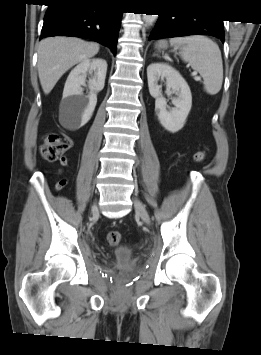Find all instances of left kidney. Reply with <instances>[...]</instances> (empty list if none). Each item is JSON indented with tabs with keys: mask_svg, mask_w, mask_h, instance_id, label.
Wrapping results in <instances>:
<instances>
[{
	"mask_svg": "<svg viewBox=\"0 0 261 355\" xmlns=\"http://www.w3.org/2000/svg\"><path fill=\"white\" fill-rule=\"evenodd\" d=\"M149 92L155 98V111L161 125L169 132L181 130L191 110L192 95L190 88L182 75L165 63H152L147 67ZM166 79V86L176 98L172 99L174 108L167 110L166 99L162 96V86L159 80Z\"/></svg>",
	"mask_w": 261,
	"mask_h": 355,
	"instance_id": "obj_1",
	"label": "left kidney"
}]
</instances>
